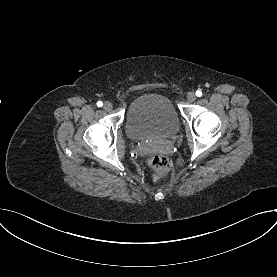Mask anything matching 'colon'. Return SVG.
I'll return each instance as SVG.
<instances>
[{"instance_id": "5ec220e1", "label": "colon", "mask_w": 277, "mask_h": 277, "mask_svg": "<svg viewBox=\"0 0 277 277\" xmlns=\"http://www.w3.org/2000/svg\"><path fill=\"white\" fill-rule=\"evenodd\" d=\"M147 163L152 169V179L158 180L171 169V161L163 155H151L147 159Z\"/></svg>"}]
</instances>
